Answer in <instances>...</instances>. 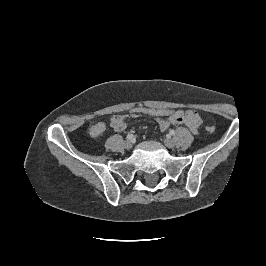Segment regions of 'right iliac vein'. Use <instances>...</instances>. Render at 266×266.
<instances>
[{
    "label": "right iliac vein",
    "instance_id": "1",
    "mask_svg": "<svg viewBox=\"0 0 266 266\" xmlns=\"http://www.w3.org/2000/svg\"><path fill=\"white\" fill-rule=\"evenodd\" d=\"M133 146V142L131 140H126L124 143L125 149H131Z\"/></svg>",
    "mask_w": 266,
    "mask_h": 266
}]
</instances>
